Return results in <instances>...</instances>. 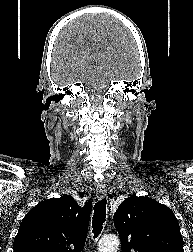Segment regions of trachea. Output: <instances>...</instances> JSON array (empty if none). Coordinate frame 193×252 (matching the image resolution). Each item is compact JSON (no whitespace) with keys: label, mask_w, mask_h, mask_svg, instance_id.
<instances>
[{"label":"trachea","mask_w":193,"mask_h":252,"mask_svg":"<svg viewBox=\"0 0 193 252\" xmlns=\"http://www.w3.org/2000/svg\"><path fill=\"white\" fill-rule=\"evenodd\" d=\"M106 199H102L95 203L94 205V214H93V221H92V227H93V234L94 238H97L99 234L102 231L103 224L106 219Z\"/></svg>","instance_id":"1"}]
</instances>
